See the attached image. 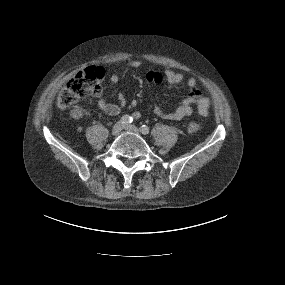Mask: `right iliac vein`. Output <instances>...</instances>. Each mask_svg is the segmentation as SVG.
Masks as SVG:
<instances>
[{
  "instance_id": "obj_1",
  "label": "right iliac vein",
  "mask_w": 285,
  "mask_h": 285,
  "mask_svg": "<svg viewBox=\"0 0 285 285\" xmlns=\"http://www.w3.org/2000/svg\"><path fill=\"white\" fill-rule=\"evenodd\" d=\"M123 126L124 125L122 122H117L112 128V135H114V136L119 135L123 129Z\"/></svg>"
}]
</instances>
